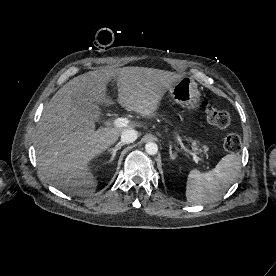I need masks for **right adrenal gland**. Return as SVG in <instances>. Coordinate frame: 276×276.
I'll list each match as a JSON object with an SVG mask.
<instances>
[{"label":"right adrenal gland","instance_id":"right-adrenal-gland-1","mask_svg":"<svg viewBox=\"0 0 276 276\" xmlns=\"http://www.w3.org/2000/svg\"><path fill=\"white\" fill-rule=\"evenodd\" d=\"M125 144L122 142H119L114 148H110L108 149V152H110L112 154L109 162L113 161L116 155V152L121 149L122 146H124Z\"/></svg>","mask_w":276,"mask_h":276}]
</instances>
